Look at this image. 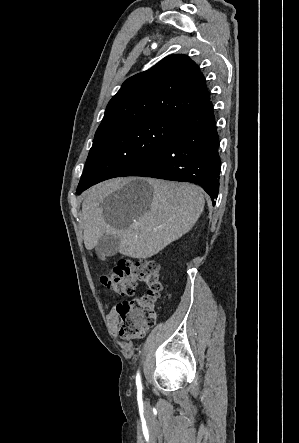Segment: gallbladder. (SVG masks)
<instances>
[{
    "mask_svg": "<svg viewBox=\"0 0 299 443\" xmlns=\"http://www.w3.org/2000/svg\"><path fill=\"white\" fill-rule=\"evenodd\" d=\"M119 239L116 236L105 234L98 241L95 251L100 259L114 256L118 252Z\"/></svg>",
    "mask_w": 299,
    "mask_h": 443,
    "instance_id": "bac80fb5",
    "label": "gallbladder"
}]
</instances>
